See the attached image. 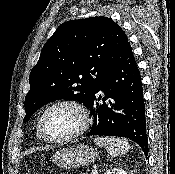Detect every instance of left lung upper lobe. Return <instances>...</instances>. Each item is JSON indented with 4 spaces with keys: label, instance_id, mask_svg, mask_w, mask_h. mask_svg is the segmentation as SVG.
<instances>
[{
    "label": "left lung upper lobe",
    "instance_id": "1",
    "mask_svg": "<svg viewBox=\"0 0 175 174\" xmlns=\"http://www.w3.org/2000/svg\"><path fill=\"white\" fill-rule=\"evenodd\" d=\"M128 45L125 32L107 17L60 25L30 73L23 122L53 100L73 99L87 106L97 84Z\"/></svg>",
    "mask_w": 175,
    "mask_h": 174
}]
</instances>
